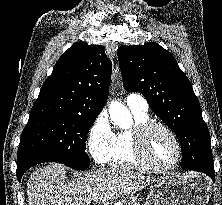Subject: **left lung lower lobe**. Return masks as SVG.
I'll return each instance as SVG.
<instances>
[{"instance_id": "0a47b994", "label": "left lung lower lobe", "mask_w": 222, "mask_h": 205, "mask_svg": "<svg viewBox=\"0 0 222 205\" xmlns=\"http://www.w3.org/2000/svg\"><path fill=\"white\" fill-rule=\"evenodd\" d=\"M182 165L184 169L203 172L214 179L215 172L213 162H210L208 159L203 158L195 153L183 155Z\"/></svg>"}]
</instances>
